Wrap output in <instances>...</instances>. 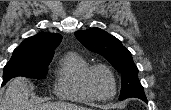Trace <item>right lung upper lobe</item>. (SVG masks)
<instances>
[{
  "mask_svg": "<svg viewBox=\"0 0 171 110\" xmlns=\"http://www.w3.org/2000/svg\"><path fill=\"white\" fill-rule=\"evenodd\" d=\"M62 36L53 33H39L24 40L14 51L27 56H53Z\"/></svg>",
  "mask_w": 171,
  "mask_h": 110,
  "instance_id": "right-lung-upper-lobe-1",
  "label": "right lung upper lobe"
}]
</instances>
